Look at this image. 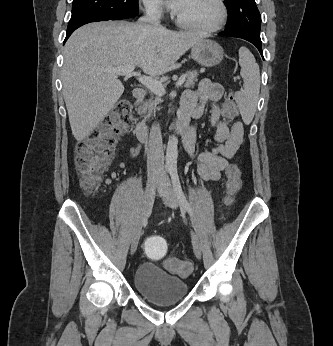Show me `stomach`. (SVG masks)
<instances>
[{"instance_id": "stomach-1", "label": "stomach", "mask_w": 333, "mask_h": 346, "mask_svg": "<svg viewBox=\"0 0 333 346\" xmlns=\"http://www.w3.org/2000/svg\"><path fill=\"white\" fill-rule=\"evenodd\" d=\"M223 49L215 41L202 39L191 47L192 58L204 67H213L223 59Z\"/></svg>"}]
</instances>
